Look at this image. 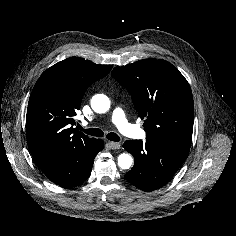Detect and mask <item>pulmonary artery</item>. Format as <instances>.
I'll use <instances>...</instances> for the list:
<instances>
[{
  "instance_id": "e3ab8cb5",
  "label": "pulmonary artery",
  "mask_w": 236,
  "mask_h": 236,
  "mask_svg": "<svg viewBox=\"0 0 236 236\" xmlns=\"http://www.w3.org/2000/svg\"><path fill=\"white\" fill-rule=\"evenodd\" d=\"M111 119L113 124L124 135L133 136L137 138L145 137L144 131L142 129L128 121L122 108L116 107L112 112Z\"/></svg>"
}]
</instances>
